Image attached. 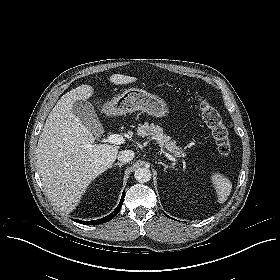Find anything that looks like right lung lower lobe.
I'll return each mask as SVG.
<instances>
[{"mask_svg": "<svg viewBox=\"0 0 280 280\" xmlns=\"http://www.w3.org/2000/svg\"><path fill=\"white\" fill-rule=\"evenodd\" d=\"M123 201H124V192L122 194V197H121V200L119 202V205L117 206V208L111 213L109 214L108 216L104 217V218H101V219H98V220H92V221H81V220H76L74 219V221L78 222V223H82V224H91V225H97V224H101V223H105V222H108L110 221L111 219H113L119 212V210L121 209L122 207V204H123Z\"/></svg>", "mask_w": 280, "mask_h": 280, "instance_id": "obj_1", "label": "right lung lower lobe"}]
</instances>
